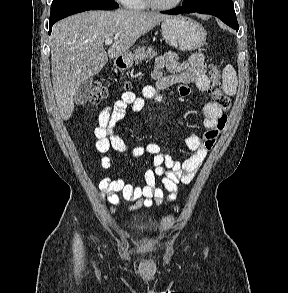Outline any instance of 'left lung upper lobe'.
Returning <instances> with one entry per match:
<instances>
[{"mask_svg": "<svg viewBox=\"0 0 288 293\" xmlns=\"http://www.w3.org/2000/svg\"><path fill=\"white\" fill-rule=\"evenodd\" d=\"M183 6L197 8H212L235 15L232 0H184Z\"/></svg>", "mask_w": 288, "mask_h": 293, "instance_id": "obj_1", "label": "left lung upper lobe"}]
</instances>
